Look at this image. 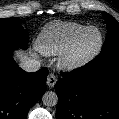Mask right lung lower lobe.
I'll return each instance as SVG.
<instances>
[{
	"label": "right lung lower lobe",
	"mask_w": 119,
	"mask_h": 119,
	"mask_svg": "<svg viewBox=\"0 0 119 119\" xmlns=\"http://www.w3.org/2000/svg\"><path fill=\"white\" fill-rule=\"evenodd\" d=\"M13 49L0 44V119H26L46 91L48 69L25 72L13 60Z\"/></svg>",
	"instance_id": "1"
}]
</instances>
